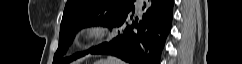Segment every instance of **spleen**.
<instances>
[{"instance_id": "obj_1", "label": "spleen", "mask_w": 242, "mask_h": 64, "mask_svg": "<svg viewBox=\"0 0 242 64\" xmlns=\"http://www.w3.org/2000/svg\"><path fill=\"white\" fill-rule=\"evenodd\" d=\"M107 63L108 64H124L121 60L114 58V57H108Z\"/></svg>"}]
</instances>
